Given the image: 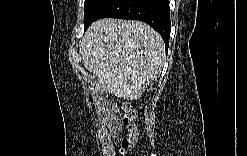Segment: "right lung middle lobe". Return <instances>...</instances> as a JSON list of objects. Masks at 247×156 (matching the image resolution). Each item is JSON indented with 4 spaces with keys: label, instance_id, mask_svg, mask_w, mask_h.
<instances>
[{
    "label": "right lung middle lobe",
    "instance_id": "obj_1",
    "mask_svg": "<svg viewBox=\"0 0 247 156\" xmlns=\"http://www.w3.org/2000/svg\"><path fill=\"white\" fill-rule=\"evenodd\" d=\"M109 0H85L84 3V29L93 22L102 8Z\"/></svg>",
    "mask_w": 247,
    "mask_h": 156
}]
</instances>
